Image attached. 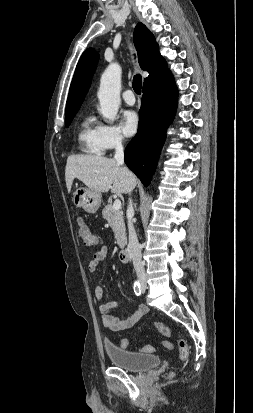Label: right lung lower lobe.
<instances>
[{"label":"right lung lower lobe","instance_id":"98d812e1","mask_svg":"<svg viewBox=\"0 0 253 413\" xmlns=\"http://www.w3.org/2000/svg\"><path fill=\"white\" fill-rule=\"evenodd\" d=\"M177 95L170 72L143 86L138 133L126 147L124 161L144 186L154 174L166 129L176 111Z\"/></svg>","mask_w":253,"mask_h":413}]
</instances>
